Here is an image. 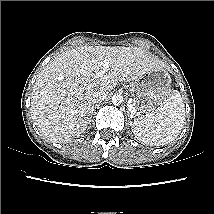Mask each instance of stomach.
<instances>
[{
    "label": "stomach",
    "mask_w": 214,
    "mask_h": 214,
    "mask_svg": "<svg viewBox=\"0 0 214 214\" xmlns=\"http://www.w3.org/2000/svg\"><path fill=\"white\" fill-rule=\"evenodd\" d=\"M131 115L152 114L171 93V77L165 66L153 69L135 80L131 87Z\"/></svg>",
    "instance_id": "stomach-1"
}]
</instances>
